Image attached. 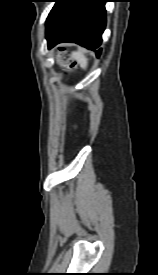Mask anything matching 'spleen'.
Masks as SVG:
<instances>
[{
    "mask_svg": "<svg viewBox=\"0 0 158 275\" xmlns=\"http://www.w3.org/2000/svg\"><path fill=\"white\" fill-rule=\"evenodd\" d=\"M72 58L78 62L82 69H86L88 66V59L81 51H74L71 54Z\"/></svg>",
    "mask_w": 158,
    "mask_h": 275,
    "instance_id": "3e777b00",
    "label": "spleen"
}]
</instances>
